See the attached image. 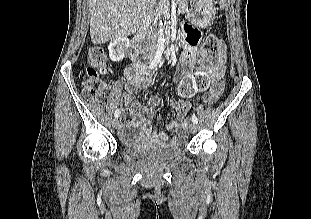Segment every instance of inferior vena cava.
Listing matches in <instances>:
<instances>
[{
    "label": "inferior vena cava",
    "mask_w": 311,
    "mask_h": 219,
    "mask_svg": "<svg viewBox=\"0 0 311 219\" xmlns=\"http://www.w3.org/2000/svg\"><path fill=\"white\" fill-rule=\"evenodd\" d=\"M154 2H155V0H145V3H148V7H147L148 12H152V6H153ZM143 50H144V52L152 51V44H151L150 39H147V41L145 42Z\"/></svg>",
    "instance_id": "obj_1"
}]
</instances>
